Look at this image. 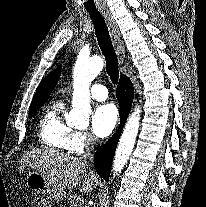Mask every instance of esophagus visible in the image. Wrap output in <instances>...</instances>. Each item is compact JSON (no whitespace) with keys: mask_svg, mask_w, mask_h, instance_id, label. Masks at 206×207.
<instances>
[{"mask_svg":"<svg viewBox=\"0 0 206 207\" xmlns=\"http://www.w3.org/2000/svg\"><path fill=\"white\" fill-rule=\"evenodd\" d=\"M101 14L104 17L106 24L110 30V35L116 50L119 64L122 65L125 60V48L118 25L116 24V21L108 10L102 11Z\"/></svg>","mask_w":206,"mask_h":207,"instance_id":"esophagus-1","label":"esophagus"}]
</instances>
